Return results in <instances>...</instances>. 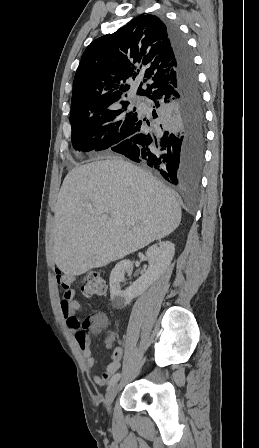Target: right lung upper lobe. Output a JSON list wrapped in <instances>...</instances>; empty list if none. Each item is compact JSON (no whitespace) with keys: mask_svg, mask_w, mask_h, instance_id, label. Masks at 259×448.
<instances>
[{"mask_svg":"<svg viewBox=\"0 0 259 448\" xmlns=\"http://www.w3.org/2000/svg\"><path fill=\"white\" fill-rule=\"evenodd\" d=\"M139 78L144 80L136 94L149 99L177 83L167 27L151 14L131 20L86 48L74 77L71 114L129 104L126 82Z\"/></svg>","mask_w":259,"mask_h":448,"instance_id":"1","label":"right lung upper lobe"}]
</instances>
